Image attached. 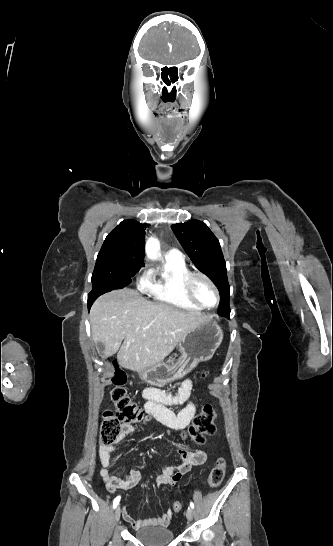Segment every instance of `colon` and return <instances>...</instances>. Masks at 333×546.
<instances>
[{"label": "colon", "mask_w": 333, "mask_h": 546, "mask_svg": "<svg viewBox=\"0 0 333 546\" xmlns=\"http://www.w3.org/2000/svg\"><path fill=\"white\" fill-rule=\"evenodd\" d=\"M202 375L203 378L209 376L206 371ZM112 381L114 384L112 399L115 408L103 413L100 430V442L103 445H111L118 439L123 424H135L147 420L145 411L128 395L124 386L126 383V374L118 365H115ZM215 419V409L212 405L205 404L201 411L194 417L184 437L195 444H204L206 438L215 432ZM225 471L226 462L223 458H220L207 478V485L211 488L219 486L224 479ZM182 507L183 503L177 500L174 501L172 510L179 512Z\"/></svg>", "instance_id": "obj_1"}]
</instances>
